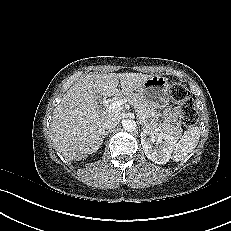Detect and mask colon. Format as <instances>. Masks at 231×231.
Returning <instances> with one entry per match:
<instances>
[{
	"label": "colon",
	"mask_w": 231,
	"mask_h": 231,
	"mask_svg": "<svg viewBox=\"0 0 231 231\" xmlns=\"http://www.w3.org/2000/svg\"><path fill=\"white\" fill-rule=\"evenodd\" d=\"M169 93L178 104L180 122L187 127L194 125L198 119V113L188 89L180 83H172Z\"/></svg>",
	"instance_id": "1"
}]
</instances>
